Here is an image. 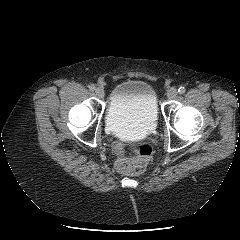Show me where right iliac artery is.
Instances as JSON below:
<instances>
[{
    "mask_svg": "<svg viewBox=\"0 0 240 240\" xmlns=\"http://www.w3.org/2000/svg\"><path fill=\"white\" fill-rule=\"evenodd\" d=\"M89 89H90L91 91H94V90H95V85H94V84L89 85Z\"/></svg>",
    "mask_w": 240,
    "mask_h": 240,
    "instance_id": "82829eb1",
    "label": "right iliac artery"
}]
</instances>
